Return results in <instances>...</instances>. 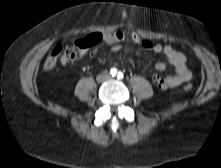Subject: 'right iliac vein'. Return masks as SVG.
<instances>
[{
	"instance_id": "obj_1",
	"label": "right iliac vein",
	"mask_w": 221,
	"mask_h": 168,
	"mask_svg": "<svg viewBox=\"0 0 221 168\" xmlns=\"http://www.w3.org/2000/svg\"><path fill=\"white\" fill-rule=\"evenodd\" d=\"M99 81H103V77H99V79H98Z\"/></svg>"
}]
</instances>
